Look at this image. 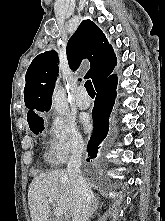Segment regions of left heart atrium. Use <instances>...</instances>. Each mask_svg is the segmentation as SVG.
Returning a JSON list of instances; mask_svg holds the SVG:
<instances>
[{
    "label": "left heart atrium",
    "mask_w": 165,
    "mask_h": 221,
    "mask_svg": "<svg viewBox=\"0 0 165 221\" xmlns=\"http://www.w3.org/2000/svg\"><path fill=\"white\" fill-rule=\"evenodd\" d=\"M85 126L88 130L91 128V123L88 119L85 120Z\"/></svg>",
    "instance_id": "obj_1"
}]
</instances>
